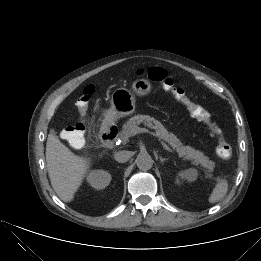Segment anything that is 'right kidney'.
I'll list each match as a JSON object with an SVG mask.
<instances>
[{"instance_id": "ca27d5eb", "label": "right kidney", "mask_w": 261, "mask_h": 261, "mask_svg": "<svg viewBox=\"0 0 261 261\" xmlns=\"http://www.w3.org/2000/svg\"><path fill=\"white\" fill-rule=\"evenodd\" d=\"M88 183L95 189L107 187L111 181V175L104 170H93L87 176Z\"/></svg>"}]
</instances>
